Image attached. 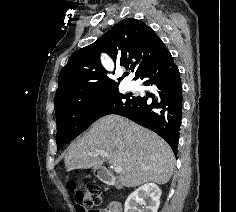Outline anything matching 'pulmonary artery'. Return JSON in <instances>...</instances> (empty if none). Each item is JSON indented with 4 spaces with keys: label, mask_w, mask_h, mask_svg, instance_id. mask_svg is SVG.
<instances>
[{
    "label": "pulmonary artery",
    "mask_w": 236,
    "mask_h": 212,
    "mask_svg": "<svg viewBox=\"0 0 236 212\" xmlns=\"http://www.w3.org/2000/svg\"><path fill=\"white\" fill-rule=\"evenodd\" d=\"M128 89H136L137 88V83L136 82H128L127 84Z\"/></svg>",
    "instance_id": "obj_1"
}]
</instances>
